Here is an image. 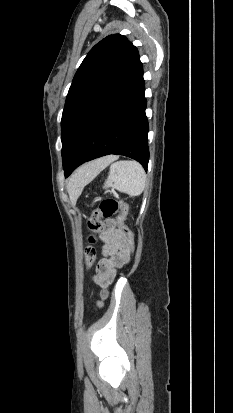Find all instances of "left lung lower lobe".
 <instances>
[{
  "mask_svg": "<svg viewBox=\"0 0 233 413\" xmlns=\"http://www.w3.org/2000/svg\"><path fill=\"white\" fill-rule=\"evenodd\" d=\"M143 67L139 56L128 75L87 127L65 177L84 162L109 155L128 156L147 171L148 122L145 114Z\"/></svg>",
  "mask_w": 233,
  "mask_h": 413,
  "instance_id": "0a47b994",
  "label": "left lung lower lobe"
}]
</instances>
